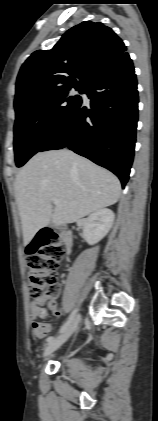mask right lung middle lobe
<instances>
[{
    "label": "right lung middle lobe",
    "mask_w": 158,
    "mask_h": 421,
    "mask_svg": "<svg viewBox=\"0 0 158 421\" xmlns=\"http://www.w3.org/2000/svg\"><path fill=\"white\" fill-rule=\"evenodd\" d=\"M69 88L43 92L15 104L14 151L17 167L24 165L52 137L81 101ZM83 92V87H73Z\"/></svg>",
    "instance_id": "obj_1"
}]
</instances>
